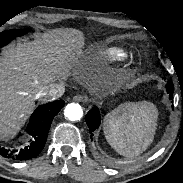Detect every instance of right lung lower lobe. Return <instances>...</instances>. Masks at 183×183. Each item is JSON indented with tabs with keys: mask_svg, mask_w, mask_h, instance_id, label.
I'll use <instances>...</instances> for the list:
<instances>
[{
	"mask_svg": "<svg viewBox=\"0 0 183 183\" xmlns=\"http://www.w3.org/2000/svg\"><path fill=\"white\" fill-rule=\"evenodd\" d=\"M63 106V100H57L38 106L31 115L26 128V132L33 138L30 145L19 151L16 149L9 150L0 147V155L13 160H27L37 156L46 143L53 118Z\"/></svg>",
	"mask_w": 183,
	"mask_h": 183,
	"instance_id": "obj_1",
	"label": "right lung lower lobe"
}]
</instances>
